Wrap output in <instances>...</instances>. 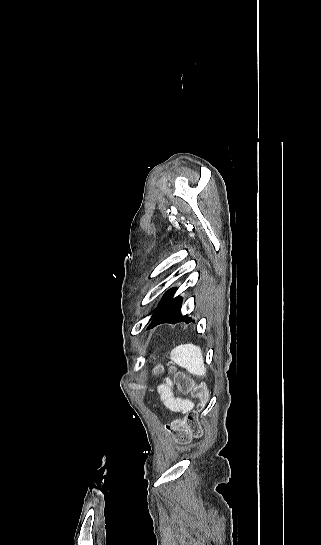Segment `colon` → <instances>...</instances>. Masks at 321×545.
Masks as SVG:
<instances>
[{"mask_svg":"<svg viewBox=\"0 0 321 545\" xmlns=\"http://www.w3.org/2000/svg\"><path fill=\"white\" fill-rule=\"evenodd\" d=\"M177 388L185 393H190L197 397L201 405H204L208 400V393L204 386L193 384L188 378L181 374L175 375ZM166 429L171 433L177 441L185 442L191 437L201 435L199 426L198 414L196 411H189L183 418L176 419L166 426Z\"/></svg>","mask_w":321,"mask_h":545,"instance_id":"5ec220e1","label":"colon"}]
</instances>
